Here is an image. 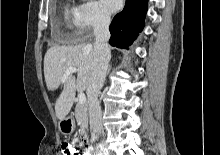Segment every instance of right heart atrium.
<instances>
[{
  "mask_svg": "<svg viewBox=\"0 0 220 155\" xmlns=\"http://www.w3.org/2000/svg\"><path fill=\"white\" fill-rule=\"evenodd\" d=\"M110 15L95 0L85 1L77 6L76 28L80 34L88 35L106 28Z\"/></svg>",
  "mask_w": 220,
  "mask_h": 155,
  "instance_id": "d8ad5b80",
  "label": "right heart atrium"
}]
</instances>
